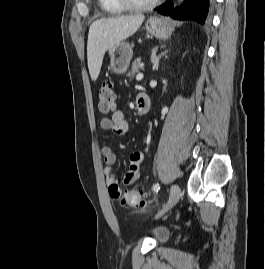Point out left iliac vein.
<instances>
[{
    "instance_id": "1",
    "label": "left iliac vein",
    "mask_w": 265,
    "mask_h": 269,
    "mask_svg": "<svg viewBox=\"0 0 265 269\" xmlns=\"http://www.w3.org/2000/svg\"><path fill=\"white\" fill-rule=\"evenodd\" d=\"M181 190L177 184H173L170 190V196L163 207V209L159 212L158 217L166 213L168 210H170L180 199Z\"/></svg>"
}]
</instances>
